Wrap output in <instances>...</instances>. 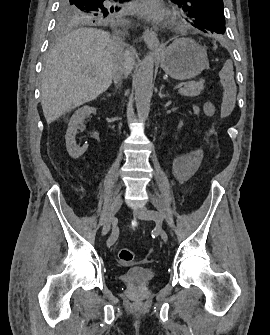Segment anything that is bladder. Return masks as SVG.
Returning <instances> with one entry per match:
<instances>
[{
    "mask_svg": "<svg viewBox=\"0 0 270 335\" xmlns=\"http://www.w3.org/2000/svg\"><path fill=\"white\" fill-rule=\"evenodd\" d=\"M151 276V270L148 268H132L122 273L120 279L129 286L139 287L145 286Z\"/></svg>",
    "mask_w": 270,
    "mask_h": 335,
    "instance_id": "bladder-1",
    "label": "bladder"
}]
</instances>
